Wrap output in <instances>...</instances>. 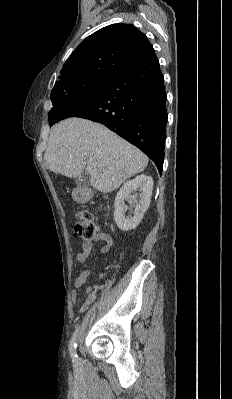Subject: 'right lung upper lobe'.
I'll use <instances>...</instances> for the list:
<instances>
[{
	"mask_svg": "<svg viewBox=\"0 0 232 399\" xmlns=\"http://www.w3.org/2000/svg\"><path fill=\"white\" fill-rule=\"evenodd\" d=\"M154 54L146 35L131 24H114L87 37L64 63L51 95L83 78H109Z\"/></svg>",
	"mask_w": 232,
	"mask_h": 399,
	"instance_id": "right-lung-upper-lobe-1",
	"label": "right lung upper lobe"
}]
</instances>
